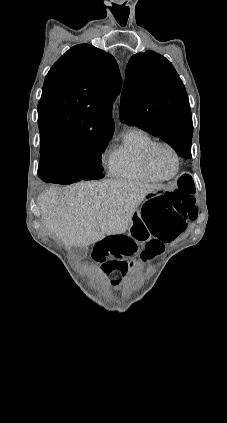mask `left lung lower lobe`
Returning a JSON list of instances; mask_svg holds the SVG:
<instances>
[{"label": "left lung lower lobe", "mask_w": 227, "mask_h": 423, "mask_svg": "<svg viewBox=\"0 0 227 423\" xmlns=\"http://www.w3.org/2000/svg\"><path fill=\"white\" fill-rule=\"evenodd\" d=\"M181 157L191 158V142L178 141L171 146Z\"/></svg>", "instance_id": "left-lung-lower-lobe-1"}]
</instances>
